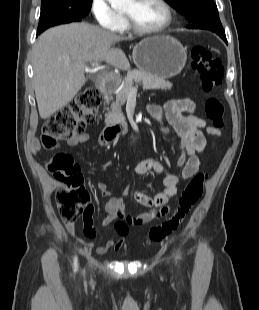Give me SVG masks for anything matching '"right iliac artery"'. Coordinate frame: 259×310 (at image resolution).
I'll return each mask as SVG.
<instances>
[{"mask_svg":"<svg viewBox=\"0 0 259 310\" xmlns=\"http://www.w3.org/2000/svg\"><path fill=\"white\" fill-rule=\"evenodd\" d=\"M78 268L77 257L74 258V271L76 272Z\"/></svg>","mask_w":259,"mask_h":310,"instance_id":"1","label":"right iliac artery"}]
</instances>
